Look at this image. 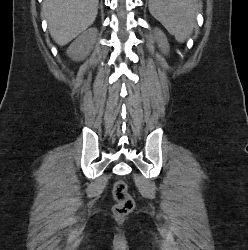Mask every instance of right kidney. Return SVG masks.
Instances as JSON below:
<instances>
[{"mask_svg":"<svg viewBox=\"0 0 248 250\" xmlns=\"http://www.w3.org/2000/svg\"><path fill=\"white\" fill-rule=\"evenodd\" d=\"M97 36V30L86 31L69 46L67 54L75 61L85 59L91 52Z\"/></svg>","mask_w":248,"mask_h":250,"instance_id":"right-kidney-1","label":"right kidney"}]
</instances>
